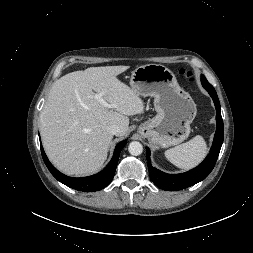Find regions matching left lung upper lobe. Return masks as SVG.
<instances>
[{
  "label": "left lung upper lobe",
  "instance_id": "obj_1",
  "mask_svg": "<svg viewBox=\"0 0 253 253\" xmlns=\"http://www.w3.org/2000/svg\"><path fill=\"white\" fill-rule=\"evenodd\" d=\"M201 82H202V84H204V83H209V82L207 81V79L205 78L204 75L201 76Z\"/></svg>",
  "mask_w": 253,
  "mask_h": 253
}]
</instances>
